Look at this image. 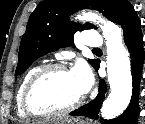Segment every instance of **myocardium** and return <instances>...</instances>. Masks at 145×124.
I'll use <instances>...</instances> for the list:
<instances>
[{
  "mask_svg": "<svg viewBox=\"0 0 145 124\" xmlns=\"http://www.w3.org/2000/svg\"><path fill=\"white\" fill-rule=\"evenodd\" d=\"M53 71H68V68L66 65L62 63H49L43 65L33 73V75L26 83L22 96V106L25 113L28 116L49 117V116L64 115L74 111L83 103L84 97L81 96L75 102L62 108H54V107L38 108L35 106L33 102V95H34L35 88L47 74Z\"/></svg>",
  "mask_w": 145,
  "mask_h": 124,
  "instance_id": "f54148a6",
  "label": "myocardium"
}]
</instances>
